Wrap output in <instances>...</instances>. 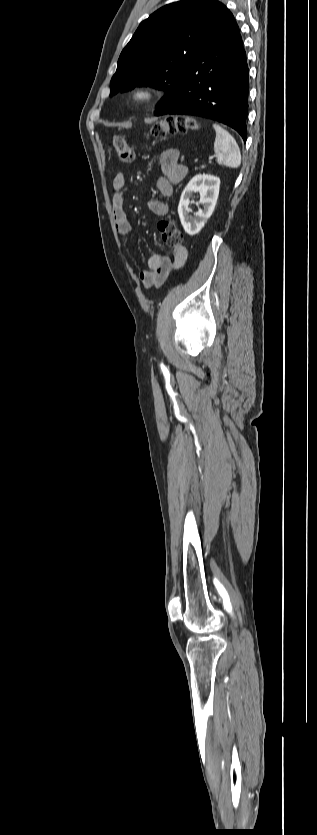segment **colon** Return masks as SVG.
<instances>
[{"label": "colon", "instance_id": "1", "mask_svg": "<svg viewBox=\"0 0 317 835\" xmlns=\"http://www.w3.org/2000/svg\"><path fill=\"white\" fill-rule=\"evenodd\" d=\"M197 129V123L190 117L166 118L154 124L150 129L149 135L155 138H163L178 133L185 134ZM112 143L121 162L131 163L134 160V151L127 143L125 137L117 135L113 138ZM157 227L163 242L167 246L171 248L181 247L183 238L175 221L164 218L159 220Z\"/></svg>", "mask_w": 317, "mask_h": 835}]
</instances>
